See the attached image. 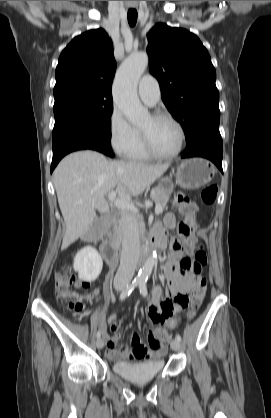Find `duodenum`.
<instances>
[{
	"instance_id": "1",
	"label": "duodenum",
	"mask_w": 271,
	"mask_h": 418,
	"mask_svg": "<svg viewBox=\"0 0 271 418\" xmlns=\"http://www.w3.org/2000/svg\"><path fill=\"white\" fill-rule=\"evenodd\" d=\"M95 235H88V240H95ZM101 250L106 262L113 266L118 256V231L117 216L110 212L107 217L103 233L101 235ZM164 244V233L159 230L151 232L141 244L138 251V262L141 263L156 247H162Z\"/></svg>"
}]
</instances>
